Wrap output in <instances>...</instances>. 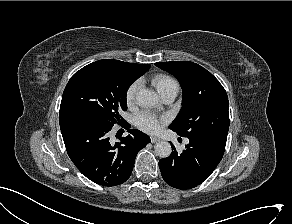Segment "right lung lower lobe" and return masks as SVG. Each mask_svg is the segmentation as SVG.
I'll return each mask as SVG.
<instances>
[{
    "instance_id": "right-lung-lower-lobe-1",
    "label": "right lung lower lobe",
    "mask_w": 292,
    "mask_h": 224,
    "mask_svg": "<svg viewBox=\"0 0 292 224\" xmlns=\"http://www.w3.org/2000/svg\"><path fill=\"white\" fill-rule=\"evenodd\" d=\"M59 123L72 162L84 176L102 186L127 181L137 153L151 141L143 132L130 129L129 135L113 145L109 140L112 128L79 115L62 116Z\"/></svg>"
}]
</instances>
